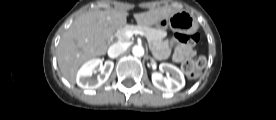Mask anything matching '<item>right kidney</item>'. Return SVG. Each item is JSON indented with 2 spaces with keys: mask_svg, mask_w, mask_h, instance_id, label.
<instances>
[{
  "mask_svg": "<svg viewBox=\"0 0 276 120\" xmlns=\"http://www.w3.org/2000/svg\"><path fill=\"white\" fill-rule=\"evenodd\" d=\"M113 67L114 63L112 61H106L103 64L101 59H91L78 70L76 82L82 89L94 90L108 80ZM96 71H100V75H98L97 79H90Z\"/></svg>",
  "mask_w": 276,
  "mask_h": 120,
  "instance_id": "ca27d5eb",
  "label": "right kidney"
}]
</instances>
